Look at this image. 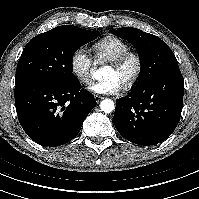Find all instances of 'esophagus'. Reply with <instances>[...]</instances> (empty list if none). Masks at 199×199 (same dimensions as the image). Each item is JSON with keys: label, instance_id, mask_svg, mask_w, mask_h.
Masks as SVG:
<instances>
[{"label": "esophagus", "instance_id": "34e87169", "mask_svg": "<svg viewBox=\"0 0 199 199\" xmlns=\"http://www.w3.org/2000/svg\"><path fill=\"white\" fill-rule=\"evenodd\" d=\"M94 99H95V101H96L97 103H99V102L103 99V97H102V96H99V95H94Z\"/></svg>", "mask_w": 199, "mask_h": 199}]
</instances>
